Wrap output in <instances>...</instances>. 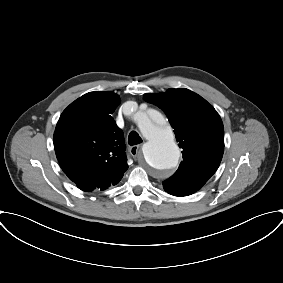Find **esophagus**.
I'll list each match as a JSON object with an SVG mask.
<instances>
[{
    "label": "esophagus",
    "mask_w": 283,
    "mask_h": 283,
    "mask_svg": "<svg viewBox=\"0 0 283 283\" xmlns=\"http://www.w3.org/2000/svg\"><path fill=\"white\" fill-rule=\"evenodd\" d=\"M141 145H134L129 148V152L133 158H136L141 154L140 152Z\"/></svg>",
    "instance_id": "34e87169"
}]
</instances>
